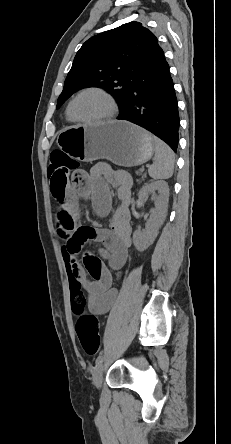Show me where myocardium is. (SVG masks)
Instances as JSON below:
<instances>
[{"label": "myocardium", "mask_w": 231, "mask_h": 444, "mask_svg": "<svg viewBox=\"0 0 231 444\" xmlns=\"http://www.w3.org/2000/svg\"><path fill=\"white\" fill-rule=\"evenodd\" d=\"M86 92H97V93L101 94L102 96H104L109 104V113L106 114L105 116H102V117L95 119V120H85V119H82V118H79L78 116H76V114L74 113V110H73L74 103L79 96H81L82 94H84ZM68 111H69L71 118L74 121L79 122V123H83V124H87V125H96V124H102V123L112 120L117 114L118 106H117V103H116L114 97L106 89H104L102 87H98V86H90V87L83 88L82 90H80L79 92H77L75 94V96L71 99V101L68 105Z\"/></svg>", "instance_id": "myocardium-1"}]
</instances>
